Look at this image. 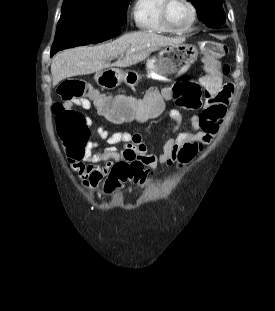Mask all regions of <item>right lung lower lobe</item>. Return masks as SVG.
Masks as SVG:
<instances>
[{
    "label": "right lung lower lobe",
    "mask_w": 275,
    "mask_h": 311,
    "mask_svg": "<svg viewBox=\"0 0 275 311\" xmlns=\"http://www.w3.org/2000/svg\"><path fill=\"white\" fill-rule=\"evenodd\" d=\"M122 24H123V23H122ZM122 24L117 25L115 29L110 30L111 32H109V33H107L106 35H104V36L100 39L99 42H102V41H104V40H108V39H110V38H112V37H115V36L119 35V33H120V27H121Z\"/></svg>",
    "instance_id": "98d812e1"
}]
</instances>
